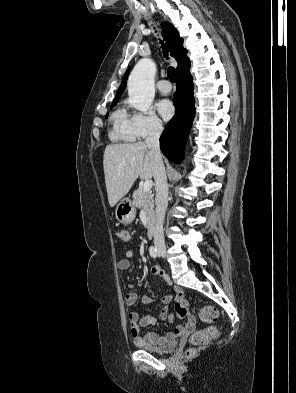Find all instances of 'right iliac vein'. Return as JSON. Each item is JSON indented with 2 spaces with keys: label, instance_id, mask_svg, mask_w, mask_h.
<instances>
[{
  "label": "right iliac vein",
  "instance_id": "63e3f726",
  "mask_svg": "<svg viewBox=\"0 0 296 393\" xmlns=\"http://www.w3.org/2000/svg\"><path fill=\"white\" fill-rule=\"evenodd\" d=\"M158 254L165 258L167 256V251L165 247H158L157 248Z\"/></svg>",
  "mask_w": 296,
  "mask_h": 393
}]
</instances>
